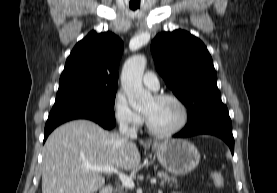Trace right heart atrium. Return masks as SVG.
<instances>
[{
	"label": "right heart atrium",
	"mask_w": 277,
	"mask_h": 193,
	"mask_svg": "<svg viewBox=\"0 0 277 193\" xmlns=\"http://www.w3.org/2000/svg\"><path fill=\"white\" fill-rule=\"evenodd\" d=\"M113 112L116 121L125 127L137 128L143 122L141 113L130 106L122 92H117L114 97Z\"/></svg>",
	"instance_id": "right-heart-atrium-1"
}]
</instances>
